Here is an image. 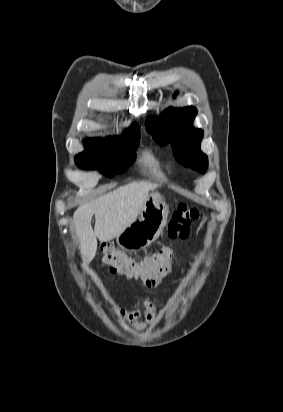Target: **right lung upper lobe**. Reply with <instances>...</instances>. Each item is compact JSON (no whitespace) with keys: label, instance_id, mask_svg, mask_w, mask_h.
I'll return each instance as SVG.
<instances>
[{"label":"right lung upper lobe","instance_id":"obj_1","mask_svg":"<svg viewBox=\"0 0 283 412\" xmlns=\"http://www.w3.org/2000/svg\"><path fill=\"white\" fill-rule=\"evenodd\" d=\"M134 135H139V130H138V126L135 124V125H132L126 132H125V134H124V136L122 137V138H125V137H130V136H134ZM109 139H114V138H109ZM116 139H119V138H116Z\"/></svg>","mask_w":283,"mask_h":412}]
</instances>
